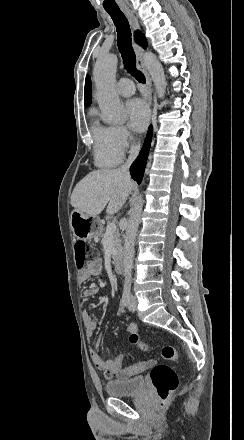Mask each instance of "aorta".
<instances>
[{"label": "aorta", "mask_w": 244, "mask_h": 440, "mask_svg": "<svg viewBox=\"0 0 244 440\" xmlns=\"http://www.w3.org/2000/svg\"><path fill=\"white\" fill-rule=\"evenodd\" d=\"M117 61V56L114 54L101 56L98 58L93 72L97 88V101L102 111V118L104 121L114 124L123 123L126 119L123 103L120 101L116 91ZM144 63L155 85L158 97L163 99L167 83L161 63L151 52L144 54ZM143 202L142 195L137 196L126 228L123 248L125 285H131L132 281L135 239L140 223Z\"/></svg>", "instance_id": "762f6f07"}]
</instances>
